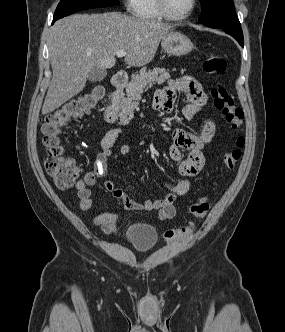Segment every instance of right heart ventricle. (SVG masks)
Masks as SVG:
<instances>
[{"label": "right heart ventricle", "instance_id": "e07e8e85", "mask_svg": "<svg viewBox=\"0 0 285 332\" xmlns=\"http://www.w3.org/2000/svg\"><path fill=\"white\" fill-rule=\"evenodd\" d=\"M131 10L139 19L155 21L164 19L158 10L156 0H134Z\"/></svg>", "mask_w": 285, "mask_h": 332}]
</instances>
